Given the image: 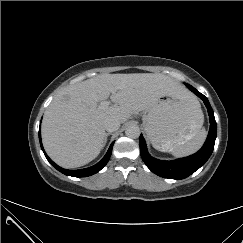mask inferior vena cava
<instances>
[{"mask_svg": "<svg viewBox=\"0 0 243 243\" xmlns=\"http://www.w3.org/2000/svg\"><path fill=\"white\" fill-rule=\"evenodd\" d=\"M105 130L108 132L117 131L120 127V122L117 119H107L104 123Z\"/></svg>", "mask_w": 243, "mask_h": 243, "instance_id": "602c4592", "label": "inferior vena cava"}]
</instances>
